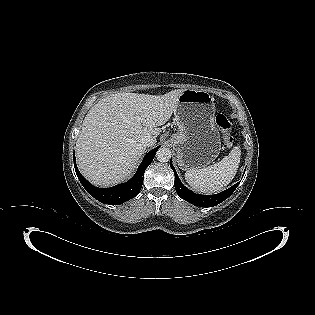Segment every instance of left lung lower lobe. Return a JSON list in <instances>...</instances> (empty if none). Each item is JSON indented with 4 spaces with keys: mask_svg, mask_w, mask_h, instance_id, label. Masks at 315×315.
Instances as JSON below:
<instances>
[{
    "mask_svg": "<svg viewBox=\"0 0 315 315\" xmlns=\"http://www.w3.org/2000/svg\"><path fill=\"white\" fill-rule=\"evenodd\" d=\"M170 167L175 174V189L177 194L184 200L201 207H213L226 200L237 188L239 183L233 185L229 189L215 195H199L188 190L180 181L175 168L170 161Z\"/></svg>",
    "mask_w": 315,
    "mask_h": 315,
    "instance_id": "1",
    "label": "left lung lower lobe"
}]
</instances>
